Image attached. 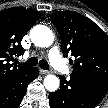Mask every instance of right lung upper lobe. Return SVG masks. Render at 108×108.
<instances>
[{
	"instance_id": "right-lung-upper-lobe-1",
	"label": "right lung upper lobe",
	"mask_w": 108,
	"mask_h": 108,
	"mask_svg": "<svg viewBox=\"0 0 108 108\" xmlns=\"http://www.w3.org/2000/svg\"><path fill=\"white\" fill-rule=\"evenodd\" d=\"M40 16L39 11L17 7L0 11V83L19 78L31 69L10 61L24 54L22 38Z\"/></svg>"
}]
</instances>
